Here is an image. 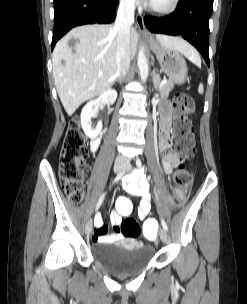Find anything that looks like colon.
Here are the masks:
<instances>
[{
  "label": "colon",
  "instance_id": "5ec220e1",
  "mask_svg": "<svg viewBox=\"0 0 247 304\" xmlns=\"http://www.w3.org/2000/svg\"><path fill=\"white\" fill-rule=\"evenodd\" d=\"M174 134L176 149L182 158L186 160L194 154L195 142L190 116L194 111L193 99L183 93H178L174 99ZM88 148L85 144L80 129L78 117H74L69 123L63 146L60 153L59 176L61 185L74 203H80L83 199V181L85 175V158ZM191 183V175L181 163L174 175V190L178 202L182 203L186 191ZM132 210V204L127 198L117 201V212L120 215H128ZM121 233L128 238H137L141 234L139 223L132 219H126L120 226ZM156 223L148 220L142 238H154Z\"/></svg>",
  "mask_w": 247,
  "mask_h": 304
}]
</instances>
